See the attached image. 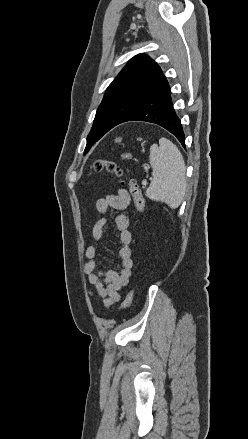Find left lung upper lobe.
<instances>
[{
  "mask_svg": "<svg viewBox=\"0 0 248 439\" xmlns=\"http://www.w3.org/2000/svg\"><path fill=\"white\" fill-rule=\"evenodd\" d=\"M163 75L147 55L133 57L106 89L87 137L85 153L144 97Z\"/></svg>",
  "mask_w": 248,
  "mask_h": 439,
  "instance_id": "obj_1",
  "label": "left lung upper lobe"
}]
</instances>
